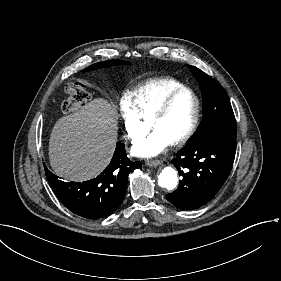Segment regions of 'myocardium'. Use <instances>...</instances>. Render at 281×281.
<instances>
[{
	"label": "myocardium",
	"instance_id": "1",
	"mask_svg": "<svg viewBox=\"0 0 281 281\" xmlns=\"http://www.w3.org/2000/svg\"><path fill=\"white\" fill-rule=\"evenodd\" d=\"M184 94H189L194 99V113L187 130L181 137L172 141L170 143L171 146H181L185 144L193 136L197 129L200 118L201 103L199 97L193 90L189 88H183L172 93L163 102L160 103V105L153 111L152 114L149 115V117L145 121L146 129L149 131L152 126L164 115L172 102Z\"/></svg>",
	"mask_w": 281,
	"mask_h": 281
}]
</instances>
